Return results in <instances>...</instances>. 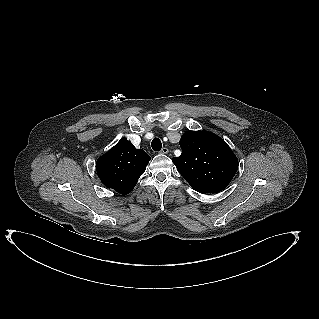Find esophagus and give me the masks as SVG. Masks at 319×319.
Instances as JSON below:
<instances>
[{
    "instance_id": "34e87169",
    "label": "esophagus",
    "mask_w": 319,
    "mask_h": 319,
    "mask_svg": "<svg viewBox=\"0 0 319 319\" xmlns=\"http://www.w3.org/2000/svg\"><path fill=\"white\" fill-rule=\"evenodd\" d=\"M169 152V150H168V148H166V147H163L162 149H161V151H160V153H162V154H167Z\"/></svg>"
}]
</instances>
